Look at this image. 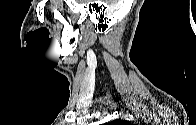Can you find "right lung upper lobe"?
<instances>
[{"instance_id": "1", "label": "right lung upper lobe", "mask_w": 196, "mask_h": 125, "mask_svg": "<svg viewBox=\"0 0 196 125\" xmlns=\"http://www.w3.org/2000/svg\"><path fill=\"white\" fill-rule=\"evenodd\" d=\"M126 122L123 120H115L113 121V124H125Z\"/></svg>"}]
</instances>
